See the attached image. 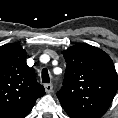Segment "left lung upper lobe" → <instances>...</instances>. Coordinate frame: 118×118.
Instances as JSON below:
<instances>
[{
    "label": "left lung upper lobe",
    "mask_w": 118,
    "mask_h": 118,
    "mask_svg": "<svg viewBox=\"0 0 118 118\" xmlns=\"http://www.w3.org/2000/svg\"><path fill=\"white\" fill-rule=\"evenodd\" d=\"M67 62L58 99L71 118H101L118 89L111 58L101 49L77 44L62 51Z\"/></svg>",
    "instance_id": "5c2ea615"
}]
</instances>
